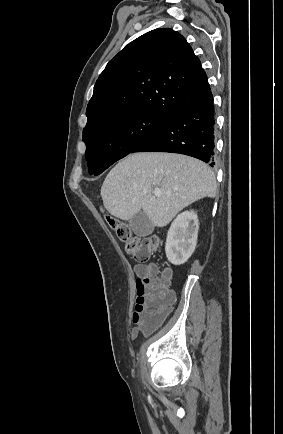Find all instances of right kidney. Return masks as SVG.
I'll list each match as a JSON object with an SVG mask.
<instances>
[{"instance_id":"right-kidney-1","label":"right kidney","mask_w":283,"mask_h":434,"mask_svg":"<svg viewBox=\"0 0 283 434\" xmlns=\"http://www.w3.org/2000/svg\"><path fill=\"white\" fill-rule=\"evenodd\" d=\"M198 216L194 211L179 214L171 224L166 239V256L174 265L185 263L195 250L198 237Z\"/></svg>"}]
</instances>
